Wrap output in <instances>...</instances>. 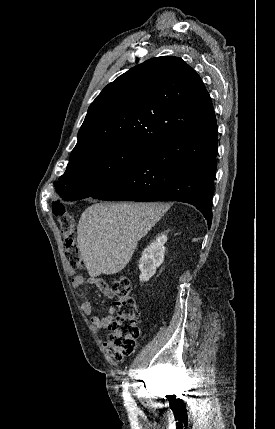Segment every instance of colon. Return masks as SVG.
Wrapping results in <instances>:
<instances>
[{"mask_svg":"<svg viewBox=\"0 0 275 429\" xmlns=\"http://www.w3.org/2000/svg\"><path fill=\"white\" fill-rule=\"evenodd\" d=\"M52 210L59 221L65 241L67 262L71 268L80 269L83 267V260L76 240L75 219L61 202H54ZM110 287L116 297L117 318L109 326L110 333L104 345L115 360L122 361L135 351L140 336L139 310L132 294L131 282L127 277L115 278Z\"/></svg>","mask_w":275,"mask_h":429,"instance_id":"obj_1","label":"colon"}]
</instances>
